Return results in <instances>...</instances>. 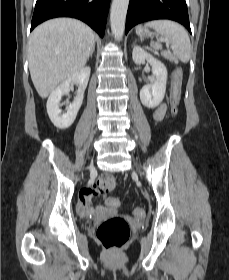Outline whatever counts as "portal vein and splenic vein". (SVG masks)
<instances>
[{
    "instance_id": "portal-vein-and-splenic-vein-1",
    "label": "portal vein and splenic vein",
    "mask_w": 229,
    "mask_h": 280,
    "mask_svg": "<svg viewBox=\"0 0 229 280\" xmlns=\"http://www.w3.org/2000/svg\"><path fill=\"white\" fill-rule=\"evenodd\" d=\"M166 46L169 47V43L168 42H166Z\"/></svg>"
}]
</instances>
